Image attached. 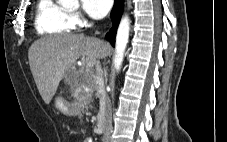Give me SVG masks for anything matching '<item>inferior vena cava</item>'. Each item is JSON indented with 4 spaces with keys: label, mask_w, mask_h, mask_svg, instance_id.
I'll return each mask as SVG.
<instances>
[{
    "label": "inferior vena cava",
    "mask_w": 227,
    "mask_h": 142,
    "mask_svg": "<svg viewBox=\"0 0 227 142\" xmlns=\"http://www.w3.org/2000/svg\"><path fill=\"white\" fill-rule=\"evenodd\" d=\"M112 132V104L110 99H107L105 119H104V131L102 142H110Z\"/></svg>",
    "instance_id": "1"
}]
</instances>
